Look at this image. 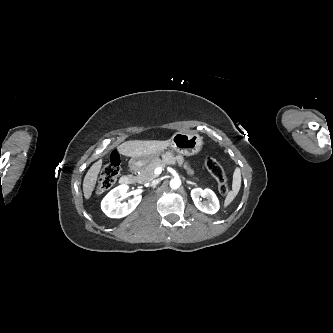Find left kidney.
Wrapping results in <instances>:
<instances>
[{
  "instance_id": "5707ae66",
  "label": "left kidney",
  "mask_w": 333,
  "mask_h": 333,
  "mask_svg": "<svg viewBox=\"0 0 333 333\" xmlns=\"http://www.w3.org/2000/svg\"><path fill=\"white\" fill-rule=\"evenodd\" d=\"M191 197L195 206L202 212L207 214H215L219 208V200L211 189L194 188L191 190ZM201 197L206 198V202H202Z\"/></svg>"
}]
</instances>
